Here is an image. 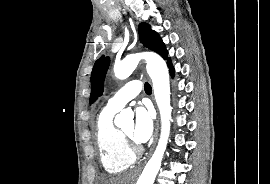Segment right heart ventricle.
<instances>
[{"mask_svg":"<svg viewBox=\"0 0 270 184\" xmlns=\"http://www.w3.org/2000/svg\"><path fill=\"white\" fill-rule=\"evenodd\" d=\"M117 111L103 108L96 122V142L103 168L110 174L126 170L135 161L123 140L121 131L114 126L113 117Z\"/></svg>","mask_w":270,"mask_h":184,"instance_id":"obj_1","label":"right heart ventricle"}]
</instances>
